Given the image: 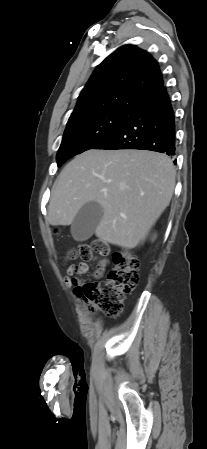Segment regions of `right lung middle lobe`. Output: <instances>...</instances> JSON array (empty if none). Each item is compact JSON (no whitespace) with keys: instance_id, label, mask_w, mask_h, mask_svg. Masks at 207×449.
<instances>
[{"instance_id":"dd1d6c3e","label":"right lung middle lobe","mask_w":207,"mask_h":449,"mask_svg":"<svg viewBox=\"0 0 207 449\" xmlns=\"http://www.w3.org/2000/svg\"><path fill=\"white\" fill-rule=\"evenodd\" d=\"M133 112L131 109H110L69 119L57 153V165L92 149L121 128Z\"/></svg>"}]
</instances>
